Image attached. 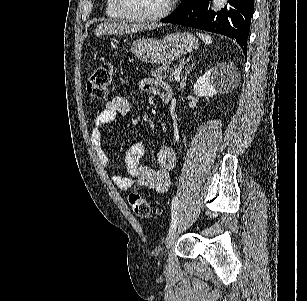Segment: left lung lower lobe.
<instances>
[{"mask_svg": "<svg viewBox=\"0 0 307 301\" xmlns=\"http://www.w3.org/2000/svg\"><path fill=\"white\" fill-rule=\"evenodd\" d=\"M210 0H183L163 23L190 26L219 33L235 39L247 53V38L253 16L254 0H228V5L218 13L209 8Z\"/></svg>", "mask_w": 307, "mask_h": 301, "instance_id": "1", "label": "left lung lower lobe"}]
</instances>
